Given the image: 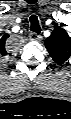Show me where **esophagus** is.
Segmentation results:
<instances>
[{"mask_svg":"<svg viewBox=\"0 0 71 119\" xmlns=\"http://www.w3.org/2000/svg\"><path fill=\"white\" fill-rule=\"evenodd\" d=\"M29 37H30L31 40H34V41H39V40L42 39V36L40 34H37V33H34V32L30 33Z\"/></svg>","mask_w":71,"mask_h":119,"instance_id":"obj_1","label":"esophagus"}]
</instances>
